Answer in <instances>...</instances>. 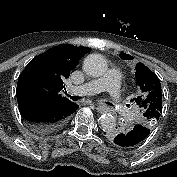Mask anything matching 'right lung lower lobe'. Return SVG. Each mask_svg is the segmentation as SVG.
<instances>
[{
  "mask_svg": "<svg viewBox=\"0 0 177 177\" xmlns=\"http://www.w3.org/2000/svg\"><path fill=\"white\" fill-rule=\"evenodd\" d=\"M18 106L28 126L40 133L60 128L79 107L75 103L49 104L28 100L18 101Z\"/></svg>",
  "mask_w": 177,
  "mask_h": 177,
  "instance_id": "right-lung-lower-lobe-1",
  "label": "right lung lower lobe"
}]
</instances>
